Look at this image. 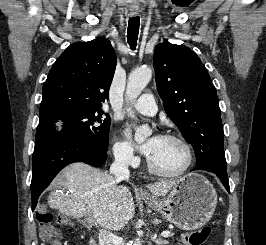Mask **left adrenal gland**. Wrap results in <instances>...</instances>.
Listing matches in <instances>:
<instances>
[{"instance_id": "1", "label": "left adrenal gland", "mask_w": 266, "mask_h": 245, "mask_svg": "<svg viewBox=\"0 0 266 245\" xmlns=\"http://www.w3.org/2000/svg\"><path fill=\"white\" fill-rule=\"evenodd\" d=\"M157 235H153V241L156 245H168V241H162V239H156Z\"/></svg>"}]
</instances>
